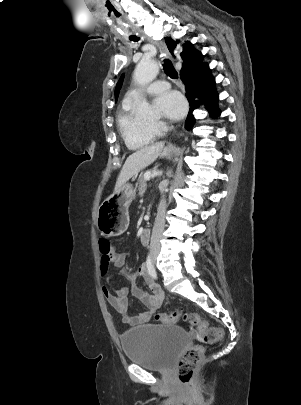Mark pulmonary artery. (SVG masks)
<instances>
[{"mask_svg": "<svg viewBox=\"0 0 301 405\" xmlns=\"http://www.w3.org/2000/svg\"><path fill=\"white\" fill-rule=\"evenodd\" d=\"M170 88V85L167 81L164 80H157L144 88H134L130 90L126 96V102H135L143 93L147 94H159L162 93Z\"/></svg>", "mask_w": 301, "mask_h": 405, "instance_id": "1", "label": "pulmonary artery"}]
</instances>
